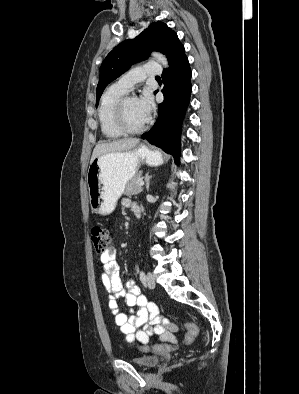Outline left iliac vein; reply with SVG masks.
<instances>
[{"label":"left iliac vein","instance_id":"4c4485c4","mask_svg":"<svg viewBox=\"0 0 299 394\" xmlns=\"http://www.w3.org/2000/svg\"><path fill=\"white\" fill-rule=\"evenodd\" d=\"M146 286L149 289L155 288V279H154L152 273H150V272L146 276Z\"/></svg>","mask_w":299,"mask_h":394}]
</instances>
